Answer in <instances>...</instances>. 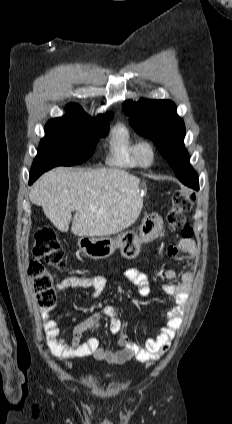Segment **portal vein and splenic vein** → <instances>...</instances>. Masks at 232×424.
<instances>
[{
	"mask_svg": "<svg viewBox=\"0 0 232 424\" xmlns=\"http://www.w3.org/2000/svg\"><path fill=\"white\" fill-rule=\"evenodd\" d=\"M89 210L95 212L97 209L95 207H90Z\"/></svg>",
	"mask_w": 232,
	"mask_h": 424,
	"instance_id": "portal-vein-and-splenic-vein-1",
	"label": "portal vein and splenic vein"
}]
</instances>
